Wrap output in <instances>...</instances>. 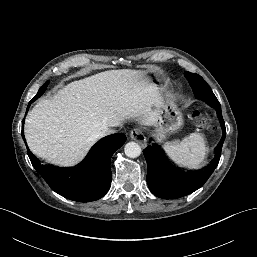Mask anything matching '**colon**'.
<instances>
[{"mask_svg": "<svg viewBox=\"0 0 257 257\" xmlns=\"http://www.w3.org/2000/svg\"><path fill=\"white\" fill-rule=\"evenodd\" d=\"M192 117L200 126H205L208 124V119L204 117L199 111H195Z\"/></svg>", "mask_w": 257, "mask_h": 257, "instance_id": "obj_1", "label": "colon"}]
</instances>
